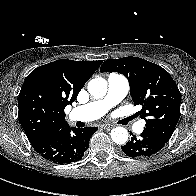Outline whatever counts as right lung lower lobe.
I'll return each mask as SVG.
<instances>
[{
	"label": "right lung lower lobe",
	"mask_w": 196,
	"mask_h": 196,
	"mask_svg": "<svg viewBox=\"0 0 196 196\" xmlns=\"http://www.w3.org/2000/svg\"><path fill=\"white\" fill-rule=\"evenodd\" d=\"M95 131L97 127L72 128L66 125L33 148L47 160L60 165L69 164L82 159Z\"/></svg>",
	"instance_id": "98d812e1"
}]
</instances>
